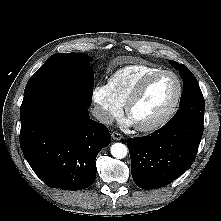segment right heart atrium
I'll list each match as a JSON object with an SVG mask.
<instances>
[{
    "label": "right heart atrium",
    "mask_w": 221,
    "mask_h": 221,
    "mask_svg": "<svg viewBox=\"0 0 221 221\" xmlns=\"http://www.w3.org/2000/svg\"><path fill=\"white\" fill-rule=\"evenodd\" d=\"M92 100L96 117L103 124L110 123L121 113L122 106L113 97L107 84H97L93 87Z\"/></svg>",
    "instance_id": "d8ad5b80"
}]
</instances>
